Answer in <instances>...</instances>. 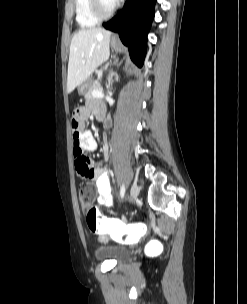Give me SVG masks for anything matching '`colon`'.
I'll return each instance as SVG.
<instances>
[{"label": "colon", "mask_w": 247, "mask_h": 304, "mask_svg": "<svg viewBox=\"0 0 247 304\" xmlns=\"http://www.w3.org/2000/svg\"><path fill=\"white\" fill-rule=\"evenodd\" d=\"M81 120V119H72ZM73 133V132H72ZM86 159H77L81 168L86 167ZM95 188L89 181H83L78 190V198L81 207L86 212V221L91 232L100 235L102 238L118 239V246H137V239L145 238L146 224H121L116 220L108 219L101 215L94 206ZM164 243L160 237H151L146 241L144 252L148 253L149 259H158L159 253L163 252Z\"/></svg>", "instance_id": "1"}]
</instances>
